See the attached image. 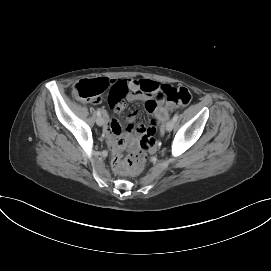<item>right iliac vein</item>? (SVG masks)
<instances>
[{"label":"right iliac vein","mask_w":271,"mask_h":271,"mask_svg":"<svg viewBox=\"0 0 271 271\" xmlns=\"http://www.w3.org/2000/svg\"><path fill=\"white\" fill-rule=\"evenodd\" d=\"M96 123L98 126H103L104 123H105V120L102 116H98L97 119H96Z\"/></svg>","instance_id":"right-iliac-vein-1"}]
</instances>
